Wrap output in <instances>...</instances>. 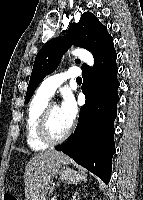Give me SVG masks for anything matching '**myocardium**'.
I'll return each mask as SVG.
<instances>
[{
  "instance_id": "1",
  "label": "myocardium",
  "mask_w": 143,
  "mask_h": 200,
  "mask_svg": "<svg viewBox=\"0 0 143 200\" xmlns=\"http://www.w3.org/2000/svg\"><path fill=\"white\" fill-rule=\"evenodd\" d=\"M53 105L55 104L48 103L45 106L36 127L37 137L39 138L41 142L47 145H56V144L62 143L70 136L72 132V125H70L67 131L60 137L52 136L49 130V118H50L51 108Z\"/></svg>"
}]
</instances>
